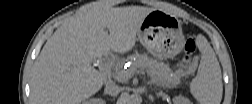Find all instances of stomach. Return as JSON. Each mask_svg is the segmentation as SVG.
Returning a JSON list of instances; mask_svg holds the SVG:
<instances>
[{
    "instance_id": "obj_1",
    "label": "stomach",
    "mask_w": 252,
    "mask_h": 104,
    "mask_svg": "<svg viewBox=\"0 0 252 104\" xmlns=\"http://www.w3.org/2000/svg\"><path fill=\"white\" fill-rule=\"evenodd\" d=\"M137 36L143 47L160 59L174 58L182 51L185 40L181 21L160 9L145 17Z\"/></svg>"
}]
</instances>
